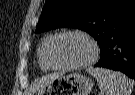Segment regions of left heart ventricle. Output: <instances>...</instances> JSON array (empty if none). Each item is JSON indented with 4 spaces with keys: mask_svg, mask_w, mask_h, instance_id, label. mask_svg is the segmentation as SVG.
<instances>
[{
    "mask_svg": "<svg viewBox=\"0 0 135 95\" xmlns=\"http://www.w3.org/2000/svg\"><path fill=\"white\" fill-rule=\"evenodd\" d=\"M91 53V46L84 38L68 35L55 41L51 56L58 65H74L86 61Z\"/></svg>",
    "mask_w": 135,
    "mask_h": 95,
    "instance_id": "obj_1",
    "label": "left heart ventricle"
}]
</instances>
